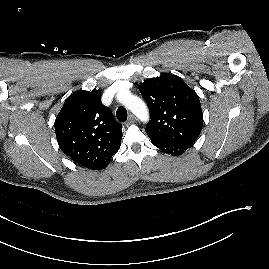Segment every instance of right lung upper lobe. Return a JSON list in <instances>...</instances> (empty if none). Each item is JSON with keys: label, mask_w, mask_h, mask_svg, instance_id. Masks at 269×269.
Listing matches in <instances>:
<instances>
[{"label": "right lung upper lobe", "mask_w": 269, "mask_h": 269, "mask_svg": "<svg viewBox=\"0 0 269 269\" xmlns=\"http://www.w3.org/2000/svg\"><path fill=\"white\" fill-rule=\"evenodd\" d=\"M54 126L61 150L86 168L106 165L120 148L122 126L102 105L99 90L70 95Z\"/></svg>", "instance_id": "cb5924a9"}]
</instances>
